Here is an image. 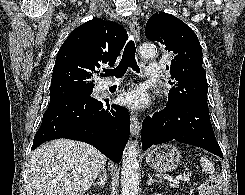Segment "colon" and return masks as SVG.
Listing matches in <instances>:
<instances>
[{
    "label": "colon",
    "mask_w": 245,
    "mask_h": 195,
    "mask_svg": "<svg viewBox=\"0 0 245 195\" xmlns=\"http://www.w3.org/2000/svg\"><path fill=\"white\" fill-rule=\"evenodd\" d=\"M220 180L216 177H206L199 186V195H219Z\"/></svg>",
    "instance_id": "colon-1"
}]
</instances>
